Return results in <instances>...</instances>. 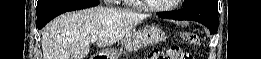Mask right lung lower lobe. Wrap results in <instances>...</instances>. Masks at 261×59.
Returning a JSON list of instances; mask_svg holds the SVG:
<instances>
[{
	"label": "right lung lower lobe",
	"instance_id": "obj_1",
	"mask_svg": "<svg viewBox=\"0 0 261 59\" xmlns=\"http://www.w3.org/2000/svg\"><path fill=\"white\" fill-rule=\"evenodd\" d=\"M98 4L99 0H53L37 11L36 28L42 29L49 21L62 13L94 7Z\"/></svg>",
	"mask_w": 261,
	"mask_h": 59
}]
</instances>
